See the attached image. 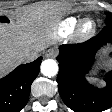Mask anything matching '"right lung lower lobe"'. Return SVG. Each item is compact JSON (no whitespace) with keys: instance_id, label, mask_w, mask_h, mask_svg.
Returning a JSON list of instances; mask_svg holds the SVG:
<instances>
[{"instance_id":"right-lung-lower-lobe-1","label":"right lung lower lobe","mask_w":112,"mask_h":112,"mask_svg":"<svg viewBox=\"0 0 112 112\" xmlns=\"http://www.w3.org/2000/svg\"><path fill=\"white\" fill-rule=\"evenodd\" d=\"M41 59L19 65L0 79V112H19L25 107L31 84L39 73Z\"/></svg>"}]
</instances>
